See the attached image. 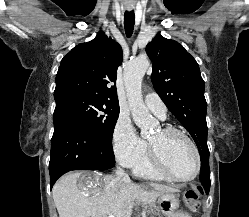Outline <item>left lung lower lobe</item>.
Listing matches in <instances>:
<instances>
[{"label":"left lung lower lobe","instance_id":"0a47b994","mask_svg":"<svg viewBox=\"0 0 249 217\" xmlns=\"http://www.w3.org/2000/svg\"><path fill=\"white\" fill-rule=\"evenodd\" d=\"M200 181L205 189V192L208 194L210 189V174H208V172L204 169L200 171Z\"/></svg>","mask_w":249,"mask_h":217}]
</instances>
